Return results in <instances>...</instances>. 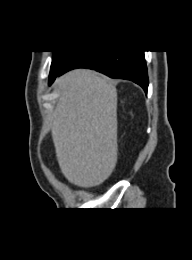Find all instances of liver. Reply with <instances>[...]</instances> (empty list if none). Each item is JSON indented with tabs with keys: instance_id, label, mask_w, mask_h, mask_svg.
Instances as JSON below:
<instances>
[{
	"instance_id": "liver-1",
	"label": "liver",
	"mask_w": 192,
	"mask_h": 260,
	"mask_svg": "<svg viewBox=\"0 0 192 260\" xmlns=\"http://www.w3.org/2000/svg\"><path fill=\"white\" fill-rule=\"evenodd\" d=\"M52 138L63 175L80 187L104 182L117 161L115 83L88 69L57 79Z\"/></svg>"
}]
</instances>
